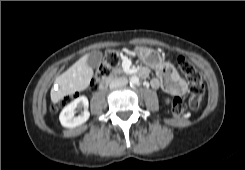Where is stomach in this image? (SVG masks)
Returning a JSON list of instances; mask_svg holds the SVG:
<instances>
[{
    "mask_svg": "<svg viewBox=\"0 0 245 170\" xmlns=\"http://www.w3.org/2000/svg\"><path fill=\"white\" fill-rule=\"evenodd\" d=\"M138 58L151 68H158L162 63L160 55L153 49L148 47H137L135 49Z\"/></svg>",
    "mask_w": 245,
    "mask_h": 170,
    "instance_id": "obj_1",
    "label": "stomach"
}]
</instances>
